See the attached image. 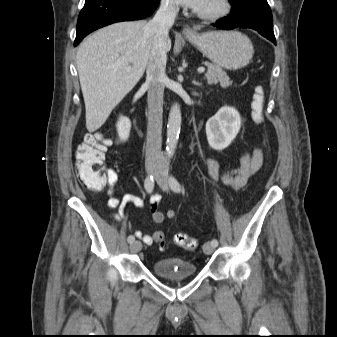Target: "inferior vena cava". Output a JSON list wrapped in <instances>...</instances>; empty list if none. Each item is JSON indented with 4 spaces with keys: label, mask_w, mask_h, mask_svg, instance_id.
<instances>
[{
    "label": "inferior vena cava",
    "mask_w": 337,
    "mask_h": 337,
    "mask_svg": "<svg viewBox=\"0 0 337 337\" xmlns=\"http://www.w3.org/2000/svg\"><path fill=\"white\" fill-rule=\"evenodd\" d=\"M178 10L176 3L161 0L159 10L146 27L148 31L154 34L146 70V84L148 86L147 163H156L163 160L161 134L167 39L169 29L174 24Z\"/></svg>",
    "instance_id": "inferior-vena-cava-1"
}]
</instances>
